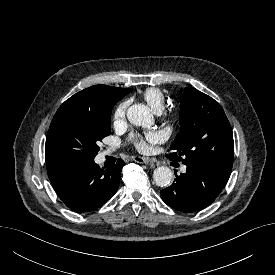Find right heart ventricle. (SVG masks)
Returning a JSON list of instances; mask_svg holds the SVG:
<instances>
[{"mask_svg":"<svg viewBox=\"0 0 275 275\" xmlns=\"http://www.w3.org/2000/svg\"><path fill=\"white\" fill-rule=\"evenodd\" d=\"M142 97L155 112H160L165 105V95L158 88H147Z\"/></svg>","mask_w":275,"mask_h":275,"instance_id":"1","label":"right heart ventricle"}]
</instances>
